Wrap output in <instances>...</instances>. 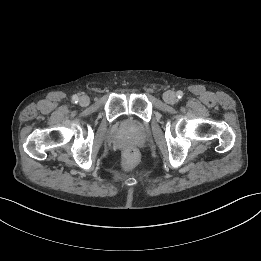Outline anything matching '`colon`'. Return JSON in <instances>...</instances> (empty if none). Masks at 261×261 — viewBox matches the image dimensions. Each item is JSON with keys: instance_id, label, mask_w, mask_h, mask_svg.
I'll return each mask as SVG.
<instances>
[{"instance_id": "colon-1", "label": "colon", "mask_w": 261, "mask_h": 261, "mask_svg": "<svg viewBox=\"0 0 261 261\" xmlns=\"http://www.w3.org/2000/svg\"><path fill=\"white\" fill-rule=\"evenodd\" d=\"M138 152L134 148H128L124 152L123 164L125 167H130L136 161Z\"/></svg>"}]
</instances>
